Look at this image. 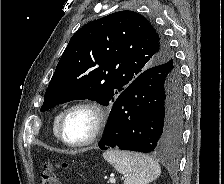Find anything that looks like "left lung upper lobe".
<instances>
[{
    "instance_id": "left-lung-upper-lobe-1",
    "label": "left lung upper lobe",
    "mask_w": 224,
    "mask_h": 184,
    "mask_svg": "<svg viewBox=\"0 0 224 184\" xmlns=\"http://www.w3.org/2000/svg\"><path fill=\"white\" fill-rule=\"evenodd\" d=\"M167 62L179 70L168 43L145 17L127 10L107 15L72 36L41 111L75 99L107 106L142 72Z\"/></svg>"
}]
</instances>
